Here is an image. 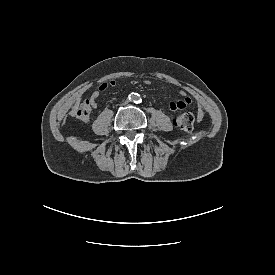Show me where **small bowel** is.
Segmentation results:
<instances>
[{"mask_svg": "<svg viewBox=\"0 0 275 275\" xmlns=\"http://www.w3.org/2000/svg\"><path fill=\"white\" fill-rule=\"evenodd\" d=\"M108 88V84L107 83H102L99 85V87L91 94V96L89 97L90 99V105L92 108H97L98 106V97L99 95L105 91ZM180 94L183 97V99L176 101V102H172L170 103V109L172 110H178V109H185L186 107H188L189 105H191L192 103V99L189 96L185 95L184 91H181ZM204 117V113L203 110L198 109V113H197V119L198 121H201Z\"/></svg>", "mask_w": 275, "mask_h": 275, "instance_id": "obj_1", "label": "small bowel"}]
</instances>
